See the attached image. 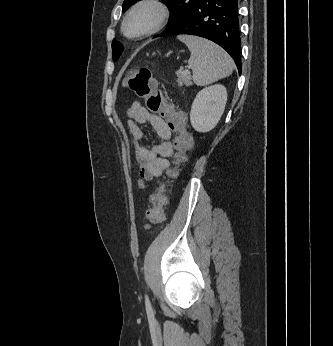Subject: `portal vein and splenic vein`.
<instances>
[{"mask_svg":"<svg viewBox=\"0 0 333 346\" xmlns=\"http://www.w3.org/2000/svg\"><path fill=\"white\" fill-rule=\"evenodd\" d=\"M183 73L184 74H190L189 70H184Z\"/></svg>","mask_w":333,"mask_h":346,"instance_id":"18ae733b","label":"portal vein and splenic vein"}]
</instances>
